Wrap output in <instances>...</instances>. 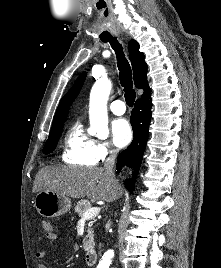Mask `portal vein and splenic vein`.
Listing matches in <instances>:
<instances>
[{"label": "portal vein and splenic vein", "mask_w": 221, "mask_h": 268, "mask_svg": "<svg viewBox=\"0 0 221 268\" xmlns=\"http://www.w3.org/2000/svg\"><path fill=\"white\" fill-rule=\"evenodd\" d=\"M100 208L99 207H91L87 209L83 214V219H91L96 217L99 214Z\"/></svg>", "instance_id": "18ae733b"}]
</instances>
